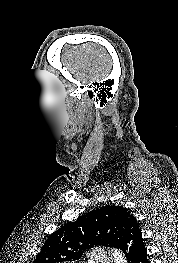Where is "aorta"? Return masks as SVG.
Segmentation results:
<instances>
[{"mask_svg":"<svg viewBox=\"0 0 178 263\" xmlns=\"http://www.w3.org/2000/svg\"><path fill=\"white\" fill-rule=\"evenodd\" d=\"M111 257L114 260V263H127V260L123 253L117 249H112Z\"/></svg>","mask_w":178,"mask_h":263,"instance_id":"obj_1","label":"aorta"}]
</instances>
